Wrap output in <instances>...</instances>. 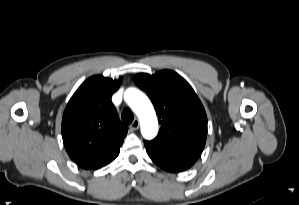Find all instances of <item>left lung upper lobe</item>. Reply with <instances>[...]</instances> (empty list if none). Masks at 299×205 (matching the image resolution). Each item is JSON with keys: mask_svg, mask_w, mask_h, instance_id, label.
Instances as JSON below:
<instances>
[{"mask_svg": "<svg viewBox=\"0 0 299 205\" xmlns=\"http://www.w3.org/2000/svg\"><path fill=\"white\" fill-rule=\"evenodd\" d=\"M135 84L146 91L161 128L155 140L184 139L205 144L207 116L189 83L171 70L154 75L139 73Z\"/></svg>", "mask_w": 299, "mask_h": 205, "instance_id": "left-lung-upper-lobe-1", "label": "left lung upper lobe"}]
</instances>
